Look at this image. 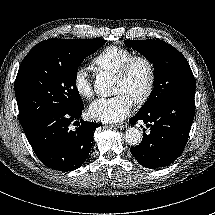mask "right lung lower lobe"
Returning <instances> with one entry per match:
<instances>
[{"mask_svg":"<svg viewBox=\"0 0 215 215\" xmlns=\"http://www.w3.org/2000/svg\"><path fill=\"white\" fill-rule=\"evenodd\" d=\"M81 105L75 110L48 109L21 123L39 160L47 167L71 171L80 167L90 150L94 130L101 124L80 119ZM75 131L69 129L78 120Z\"/></svg>","mask_w":215,"mask_h":215,"instance_id":"1","label":"right lung lower lobe"}]
</instances>
